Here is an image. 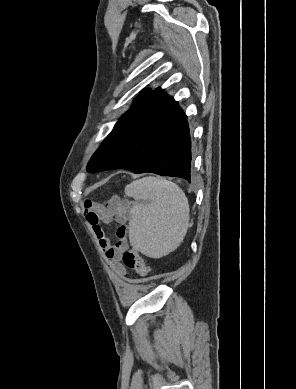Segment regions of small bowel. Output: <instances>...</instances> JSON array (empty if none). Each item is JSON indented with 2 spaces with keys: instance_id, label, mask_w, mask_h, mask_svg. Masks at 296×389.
<instances>
[{
  "instance_id": "obj_1",
  "label": "small bowel",
  "mask_w": 296,
  "mask_h": 389,
  "mask_svg": "<svg viewBox=\"0 0 296 389\" xmlns=\"http://www.w3.org/2000/svg\"><path fill=\"white\" fill-rule=\"evenodd\" d=\"M84 207L86 220L92 227L106 258L113 264L118 274L125 275L126 269L120 261L128 246L127 221L130 218L129 207L116 199H112L105 204L86 201ZM112 222L118 223L115 230L117 237L115 244L111 243L103 229V225H109Z\"/></svg>"
}]
</instances>
